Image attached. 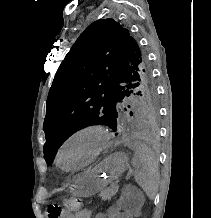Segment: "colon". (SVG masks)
I'll return each mask as SVG.
<instances>
[{"instance_id":"obj_1","label":"colon","mask_w":211,"mask_h":218,"mask_svg":"<svg viewBox=\"0 0 211 218\" xmlns=\"http://www.w3.org/2000/svg\"><path fill=\"white\" fill-rule=\"evenodd\" d=\"M64 206L69 211H76L80 208V201L77 198L68 197L64 200Z\"/></svg>"}]
</instances>
